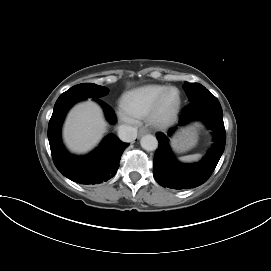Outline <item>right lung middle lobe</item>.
Segmentation results:
<instances>
[{
  "mask_svg": "<svg viewBox=\"0 0 271 271\" xmlns=\"http://www.w3.org/2000/svg\"><path fill=\"white\" fill-rule=\"evenodd\" d=\"M109 90L105 87L98 86L93 83H83L71 87L69 90L60 95V99H86V98H101L105 96Z\"/></svg>",
  "mask_w": 271,
  "mask_h": 271,
  "instance_id": "obj_1",
  "label": "right lung middle lobe"
}]
</instances>
